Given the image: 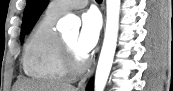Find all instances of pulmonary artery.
Returning a JSON list of instances; mask_svg holds the SVG:
<instances>
[{
	"label": "pulmonary artery",
	"instance_id": "1",
	"mask_svg": "<svg viewBox=\"0 0 173 91\" xmlns=\"http://www.w3.org/2000/svg\"><path fill=\"white\" fill-rule=\"evenodd\" d=\"M87 3L88 0H57L50 4L49 11L62 15L70 10L83 8Z\"/></svg>",
	"mask_w": 173,
	"mask_h": 91
}]
</instances>
